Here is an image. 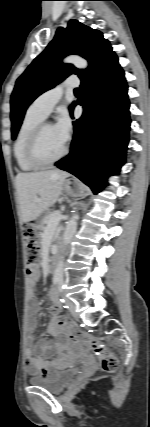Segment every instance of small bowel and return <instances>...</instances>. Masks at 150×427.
I'll use <instances>...</instances> for the list:
<instances>
[{"mask_svg":"<svg viewBox=\"0 0 150 427\" xmlns=\"http://www.w3.org/2000/svg\"><path fill=\"white\" fill-rule=\"evenodd\" d=\"M44 259H46V253L43 254ZM43 270H46V264L43 265ZM39 280V274L35 273L32 278L29 280V306L25 322V328L27 332V348L25 350V364L28 372L33 375H40L45 377L49 375L54 369L60 366L63 362V353L70 351L71 353H78L80 351L79 347L73 346L66 336H61L58 340L51 342L48 339L41 338L35 340V333L37 331L38 325V312H39V303L34 297V288L37 285ZM49 299L53 303L54 307L57 310L61 309L60 301L57 296V293L54 289H51L49 292ZM57 320H53L50 324V330L54 331L56 328ZM33 347L40 350L46 356L55 357L47 359L44 356L34 354Z\"/></svg>","mask_w":150,"mask_h":427,"instance_id":"obj_1","label":"small bowel"}]
</instances>
